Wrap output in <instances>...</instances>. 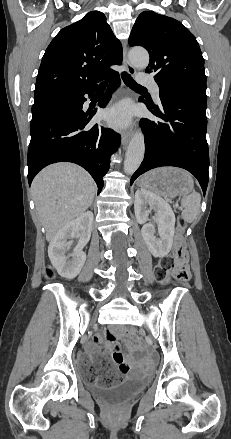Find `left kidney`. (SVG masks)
Instances as JSON below:
<instances>
[{
	"instance_id": "left-kidney-1",
	"label": "left kidney",
	"mask_w": 231,
	"mask_h": 439,
	"mask_svg": "<svg viewBox=\"0 0 231 439\" xmlns=\"http://www.w3.org/2000/svg\"><path fill=\"white\" fill-rule=\"evenodd\" d=\"M134 210L137 222L143 224L141 234L151 254L154 257L166 256L172 248L175 231V215L169 204L161 197L141 188L135 193ZM151 210L155 211L160 238L155 236L154 225L147 223Z\"/></svg>"
}]
</instances>
